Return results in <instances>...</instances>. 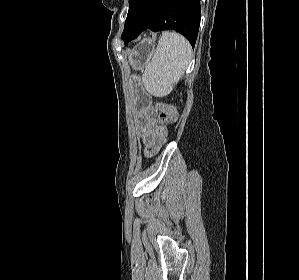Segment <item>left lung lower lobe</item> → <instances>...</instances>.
Wrapping results in <instances>:
<instances>
[{
  "label": "left lung lower lobe",
  "instance_id": "obj_1",
  "mask_svg": "<svg viewBox=\"0 0 299 280\" xmlns=\"http://www.w3.org/2000/svg\"><path fill=\"white\" fill-rule=\"evenodd\" d=\"M200 19V0H132L121 37L127 45L146 29H173L194 47Z\"/></svg>",
  "mask_w": 299,
  "mask_h": 280
}]
</instances>
